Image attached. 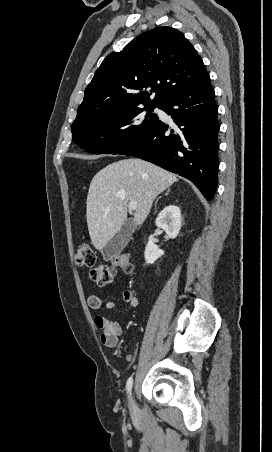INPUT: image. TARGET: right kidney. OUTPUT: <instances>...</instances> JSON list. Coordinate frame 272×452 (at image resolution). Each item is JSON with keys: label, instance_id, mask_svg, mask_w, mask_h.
Masks as SVG:
<instances>
[{"label": "right kidney", "instance_id": "1", "mask_svg": "<svg viewBox=\"0 0 272 452\" xmlns=\"http://www.w3.org/2000/svg\"><path fill=\"white\" fill-rule=\"evenodd\" d=\"M155 224L158 228L163 229L169 238L175 239L182 225L180 208L176 205L165 207L158 214ZM163 254L164 251L155 245L154 236L150 235L144 252L146 263L153 264Z\"/></svg>", "mask_w": 272, "mask_h": 452}]
</instances>
